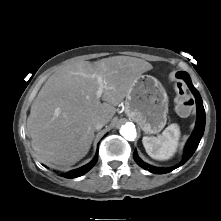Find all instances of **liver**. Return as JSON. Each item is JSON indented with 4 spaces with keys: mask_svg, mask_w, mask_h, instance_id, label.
Listing matches in <instances>:
<instances>
[{
    "mask_svg": "<svg viewBox=\"0 0 221 221\" xmlns=\"http://www.w3.org/2000/svg\"><path fill=\"white\" fill-rule=\"evenodd\" d=\"M152 68L139 58L113 56L93 63L81 61L51 75L27 119L39 160L54 167L71 166L82 159L94 138L92 121L101 119L107 124L138 77ZM98 76L103 78V103L96 95Z\"/></svg>",
    "mask_w": 221,
    "mask_h": 221,
    "instance_id": "1",
    "label": "liver"
}]
</instances>
